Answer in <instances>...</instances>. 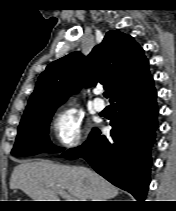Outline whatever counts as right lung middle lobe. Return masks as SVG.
Masks as SVG:
<instances>
[{
    "label": "right lung middle lobe",
    "mask_w": 176,
    "mask_h": 211,
    "mask_svg": "<svg viewBox=\"0 0 176 211\" xmlns=\"http://www.w3.org/2000/svg\"><path fill=\"white\" fill-rule=\"evenodd\" d=\"M55 108L44 110L22 118L18 135L11 153L15 156H29L38 153H55L63 149L54 146L48 137L50 119Z\"/></svg>",
    "instance_id": "1"
}]
</instances>
